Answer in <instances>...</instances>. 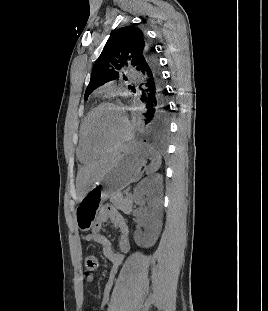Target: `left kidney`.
<instances>
[{
  "mask_svg": "<svg viewBox=\"0 0 268 311\" xmlns=\"http://www.w3.org/2000/svg\"><path fill=\"white\" fill-rule=\"evenodd\" d=\"M163 191V177L155 174L144 178L135 188L133 200L136 205L147 206L139 222L144 226V233L137 231L134 239L137 245L149 248L153 246L162 228L161 203Z\"/></svg>",
  "mask_w": 268,
  "mask_h": 311,
  "instance_id": "left-kidney-1",
  "label": "left kidney"
}]
</instances>
